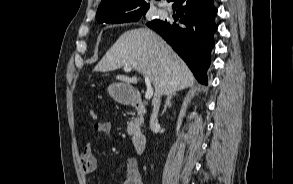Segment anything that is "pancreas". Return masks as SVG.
Segmentation results:
<instances>
[{"instance_id": "cf45deb5", "label": "pancreas", "mask_w": 293, "mask_h": 184, "mask_svg": "<svg viewBox=\"0 0 293 184\" xmlns=\"http://www.w3.org/2000/svg\"><path fill=\"white\" fill-rule=\"evenodd\" d=\"M141 123H142L141 118H134L133 117L127 125L128 135L132 136L133 134H135L138 131V129L140 128Z\"/></svg>"}]
</instances>
